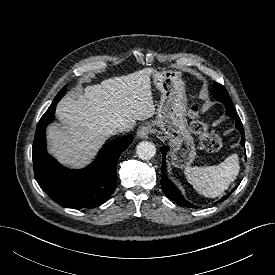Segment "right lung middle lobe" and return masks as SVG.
<instances>
[{"instance_id":"right-lung-middle-lobe-1","label":"right lung middle lobe","mask_w":275,"mask_h":275,"mask_svg":"<svg viewBox=\"0 0 275 275\" xmlns=\"http://www.w3.org/2000/svg\"><path fill=\"white\" fill-rule=\"evenodd\" d=\"M66 87H63V89L57 94V98H62L65 95Z\"/></svg>"}]
</instances>
